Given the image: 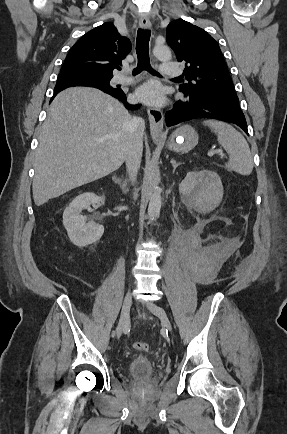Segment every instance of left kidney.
I'll return each mask as SVG.
<instances>
[{"instance_id":"1","label":"left kidney","mask_w":287,"mask_h":434,"mask_svg":"<svg viewBox=\"0 0 287 434\" xmlns=\"http://www.w3.org/2000/svg\"><path fill=\"white\" fill-rule=\"evenodd\" d=\"M179 190L187 203L201 210L218 206L224 192L219 175L210 170L188 172Z\"/></svg>"}]
</instances>
